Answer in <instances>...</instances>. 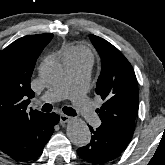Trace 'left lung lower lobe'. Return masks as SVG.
Masks as SVG:
<instances>
[{
	"label": "left lung lower lobe",
	"instance_id": "left-lung-lower-lobe-1",
	"mask_svg": "<svg viewBox=\"0 0 165 165\" xmlns=\"http://www.w3.org/2000/svg\"><path fill=\"white\" fill-rule=\"evenodd\" d=\"M89 128L91 141L79 148L77 153L84 161L92 164H103L117 158L131 140V137L102 124L96 130L91 126Z\"/></svg>",
	"mask_w": 165,
	"mask_h": 165
}]
</instances>
